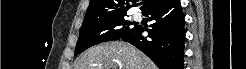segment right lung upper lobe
Here are the masks:
<instances>
[{
  "instance_id": "obj_1",
  "label": "right lung upper lobe",
  "mask_w": 246,
  "mask_h": 69,
  "mask_svg": "<svg viewBox=\"0 0 246 69\" xmlns=\"http://www.w3.org/2000/svg\"><path fill=\"white\" fill-rule=\"evenodd\" d=\"M162 1L163 0H143L141 10L144 11L150 6ZM130 2L134 3L133 0H90L84 21L100 20L113 15H124L131 7Z\"/></svg>"
}]
</instances>
